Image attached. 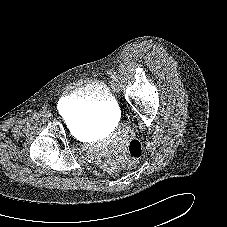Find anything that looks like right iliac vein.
Wrapping results in <instances>:
<instances>
[{
  "instance_id": "1",
  "label": "right iliac vein",
  "mask_w": 227,
  "mask_h": 227,
  "mask_svg": "<svg viewBox=\"0 0 227 227\" xmlns=\"http://www.w3.org/2000/svg\"><path fill=\"white\" fill-rule=\"evenodd\" d=\"M43 116H44L45 118H47V117H49V116H50V114H48V113H44V114H43Z\"/></svg>"
}]
</instances>
